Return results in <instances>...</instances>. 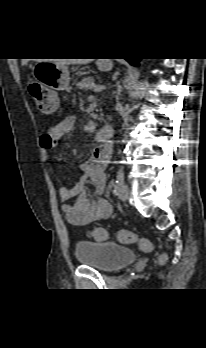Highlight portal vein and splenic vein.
I'll return each instance as SVG.
<instances>
[{"mask_svg": "<svg viewBox=\"0 0 206 348\" xmlns=\"http://www.w3.org/2000/svg\"><path fill=\"white\" fill-rule=\"evenodd\" d=\"M105 86L104 85H97V86H95L94 87V92H101V91H103V90H105Z\"/></svg>", "mask_w": 206, "mask_h": 348, "instance_id": "obj_1", "label": "portal vein and splenic vein"}]
</instances>
